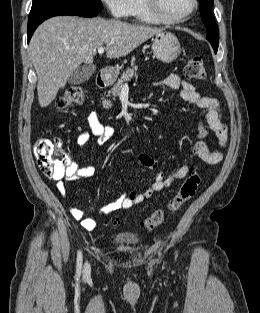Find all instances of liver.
Listing matches in <instances>:
<instances>
[{
    "label": "liver",
    "mask_w": 260,
    "mask_h": 313,
    "mask_svg": "<svg viewBox=\"0 0 260 313\" xmlns=\"http://www.w3.org/2000/svg\"><path fill=\"white\" fill-rule=\"evenodd\" d=\"M163 31L101 17L58 16L43 22L28 49L38 77L40 106L47 107L55 99L81 63L92 65L99 47L106 45L107 58H120Z\"/></svg>",
    "instance_id": "liver-1"
}]
</instances>
